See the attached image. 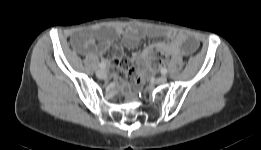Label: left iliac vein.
<instances>
[{"instance_id": "4c4485c4", "label": "left iliac vein", "mask_w": 261, "mask_h": 150, "mask_svg": "<svg viewBox=\"0 0 261 150\" xmlns=\"http://www.w3.org/2000/svg\"><path fill=\"white\" fill-rule=\"evenodd\" d=\"M167 82V77L166 76H160L156 79L157 84H164Z\"/></svg>"}]
</instances>
